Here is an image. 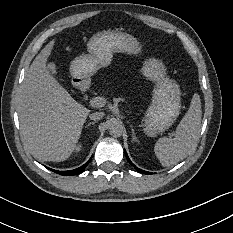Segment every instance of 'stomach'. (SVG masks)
<instances>
[{"instance_id":"obj_1","label":"stomach","mask_w":233,"mask_h":233,"mask_svg":"<svg viewBox=\"0 0 233 233\" xmlns=\"http://www.w3.org/2000/svg\"><path fill=\"white\" fill-rule=\"evenodd\" d=\"M140 50L137 39L119 30H107L94 34L87 43V53L76 57L70 64V74L76 86L96 74L100 67H107L115 52L136 53ZM144 75L159 80L154 89V100L146 115L147 132L150 134L165 130L178 114V87L170 81L162 80V64L148 61Z\"/></svg>"}]
</instances>
